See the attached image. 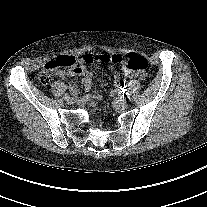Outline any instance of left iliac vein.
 Wrapping results in <instances>:
<instances>
[{"label":"left iliac vein","mask_w":207,"mask_h":207,"mask_svg":"<svg viewBox=\"0 0 207 207\" xmlns=\"http://www.w3.org/2000/svg\"><path fill=\"white\" fill-rule=\"evenodd\" d=\"M115 102L124 106V105H128L130 103V100L129 99H125L123 97H120V98H116L115 99Z\"/></svg>","instance_id":"obj_1"}]
</instances>
